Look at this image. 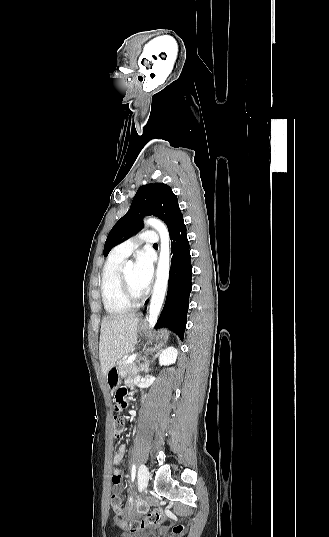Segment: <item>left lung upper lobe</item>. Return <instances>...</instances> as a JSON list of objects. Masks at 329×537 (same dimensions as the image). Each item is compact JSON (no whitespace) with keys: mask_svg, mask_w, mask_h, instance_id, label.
Listing matches in <instances>:
<instances>
[{"mask_svg":"<svg viewBox=\"0 0 329 537\" xmlns=\"http://www.w3.org/2000/svg\"><path fill=\"white\" fill-rule=\"evenodd\" d=\"M149 215L163 220L170 236L184 223L177 197L168 185L163 183L143 185L138 189L129 211L118 220L108 234L104 245V256H107L113 247L141 230L143 217Z\"/></svg>","mask_w":329,"mask_h":537,"instance_id":"5c2ea615","label":"left lung upper lobe"}]
</instances>
